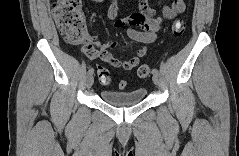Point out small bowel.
<instances>
[{"mask_svg": "<svg viewBox=\"0 0 239 156\" xmlns=\"http://www.w3.org/2000/svg\"><path fill=\"white\" fill-rule=\"evenodd\" d=\"M186 9L183 0H174L170 6H164L159 13L152 8L147 1H141L139 4V13L134 14L126 19H119L115 21V27L120 28L129 24L127 29V36L136 42L142 43L144 46L139 48L136 53L129 59H120L112 55L111 50L116 46L115 41H107L104 43H96L89 40L83 47L84 52L93 59H101L114 67L122 68L130 71L134 69L140 59L145 56L147 48L146 45L152 43L156 39L157 32L164 26L165 20L176 18ZM117 13V4L115 2L108 6L107 15L110 20H114ZM134 26L141 27L137 30Z\"/></svg>", "mask_w": 239, "mask_h": 156, "instance_id": "1", "label": "small bowel"}]
</instances>
